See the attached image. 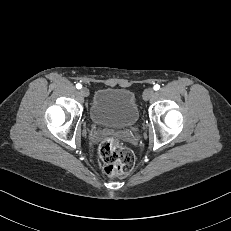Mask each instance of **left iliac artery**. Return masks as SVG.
I'll list each match as a JSON object with an SVG mask.
<instances>
[{
    "label": "left iliac artery",
    "instance_id": "obj_1",
    "mask_svg": "<svg viewBox=\"0 0 231 231\" xmlns=\"http://www.w3.org/2000/svg\"><path fill=\"white\" fill-rule=\"evenodd\" d=\"M153 88H154L155 91H157V90L160 89V86L158 84H156Z\"/></svg>",
    "mask_w": 231,
    "mask_h": 231
}]
</instances>
